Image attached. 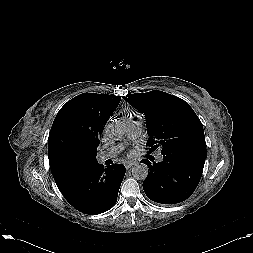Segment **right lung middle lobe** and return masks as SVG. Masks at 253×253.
Here are the masks:
<instances>
[{
    "instance_id": "1",
    "label": "right lung middle lobe",
    "mask_w": 253,
    "mask_h": 253,
    "mask_svg": "<svg viewBox=\"0 0 253 253\" xmlns=\"http://www.w3.org/2000/svg\"><path fill=\"white\" fill-rule=\"evenodd\" d=\"M95 161H96V154H95L94 158L91 160L90 163L95 162Z\"/></svg>"
}]
</instances>
